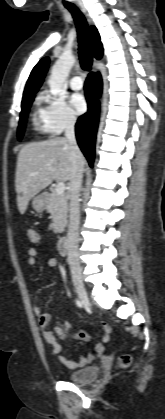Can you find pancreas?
I'll use <instances>...</instances> for the list:
<instances>
[{"label": "pancreas", "mask_w": 165, "mask_h": 419, "mask_svg": "<svg viewBox=\"0 0 165 419\" xmlns=\"http://www.w3.org/2000/svg\"><path fill=\"white\" fill-rule=\"evenodd\" d=\"M46 210L51 214L53 232H63L67 224L68 197L64 194L58 195L55 190H52Z\"/></svg>", "instance_id": "cf45deb5"}]
</instances>
